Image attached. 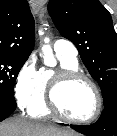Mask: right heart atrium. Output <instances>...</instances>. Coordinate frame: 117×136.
<instances>
[{
	"label": "right heart atrium",
	"mask_w": 117,
	"mask_h": 136,
	"mask_svg": "<svg viewBox=\"0 0 117 136\" xmlns=\"http://www.w3.org/2000/svg\"><path fill=\"white\" fill-rule=\"evenodd\" d=\"M40 87V70L36 67L35 58L30 57L20 67L15 77L13 92L17 105L20 108H28L37 99Z\"/></svg>",
	"instance_id": "obj_1"
}]
</instances>
